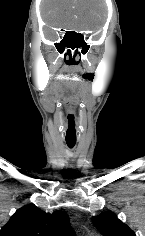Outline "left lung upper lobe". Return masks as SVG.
<instances>
[{
    "label": "left lung upper lobe",
    "mask_w": 145,
    "mask_h": 236,
    "mask_svg": "<svg viewBox=\"0 0 145 236\" xmlns=\"http://www.w3.org/2000/svg\"><path fill=\"white\" fill-rule=\"evenodd\" d=\"M96 228L103 236H136L127 225L122 223L117 216L108 211L92 218Z\"/></svg>",
    "instance_id": "obj_1"
}]
</instances>
